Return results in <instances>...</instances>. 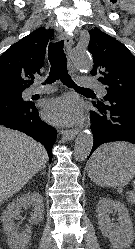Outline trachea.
<instances>
[{
  "label": "trachea",
  "mask_w": 135,
  "mask_h": 249,
  "mask_svg": "<svg viewBox=\"0 0 135 249\" xmlns=\"http://www.w3.org/2000/svg\"><path fill=\"white\" fill-rule=\"evenodd\" d=\"M64 41L51 43L48 47V58L51 64L49 77L46 83H53L55 80L60 79L61 82L78 91H92L91 89L77 86L68 74L66 65V55L63 50ZM32 83V82H31Z\"/></svg>",
  "instance_id": "trachea-1"
}]
</instances>
